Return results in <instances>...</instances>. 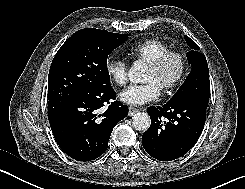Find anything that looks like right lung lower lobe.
Segmentation results:
<instances>
[{"instance_id": "right-lung-lower-lobe-1", "label": "right lung lower lobe", "mask_w": 245, "mask_h": 189, "mask_svg": "<svg viewBox=\"0 0 245 189\" xmlns=\"http://www.w3.org/2000/svg\"><path fill=\"white\" fill-rule=\"evenodd\" d=\"M115 99L110 84L49 99V123L56 142L68 156L90 161L106 151L113 128L128 115V107ZM106 105L107 110L99 114Z\"/></svg>"}]
</instances>
